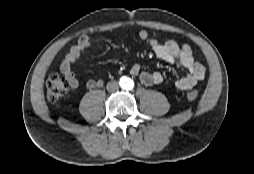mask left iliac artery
Masks as SVG:
<instances>
[{"label": "left iliac artery", "mask_w": 254, "mask_h": 174, "mask_svg": "<svg viewBox=\"0 0 254 174\" xmlns=\"http://www.w3.org/2000/svg\"><path fill=\"white\" fill-rule=\"evenodd\" d=\"M129 83H130V85H131V86H130V88H131V87H132V81H130Z\"/></svg>", "instance_id": "obj_1"}]
</instances>
